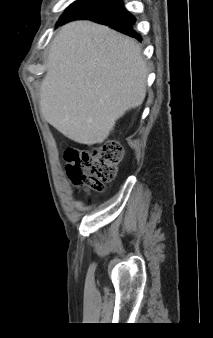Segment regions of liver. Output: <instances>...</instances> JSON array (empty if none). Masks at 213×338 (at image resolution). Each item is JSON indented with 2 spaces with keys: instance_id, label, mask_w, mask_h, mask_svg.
<instances>
[{
  "instance_id": "1",
  "label": "liver",
  "mask_w": 213,
  "mask_h": 338,
  "mask_svg": "<svg viewBox=\"0 0 213 338\" xmlns=\"http://www.w3.org/2000/svg\"><path fill=\"white\" fill-rule=\"evenodd\" d=\"M40 87L45 120L67 138L101 144L146 96L148 69L132 38L107 26L75 21L60 28Z\"/></svg>"
}]
</instances>
